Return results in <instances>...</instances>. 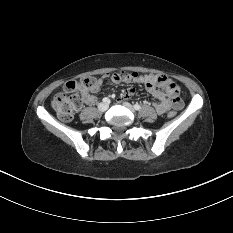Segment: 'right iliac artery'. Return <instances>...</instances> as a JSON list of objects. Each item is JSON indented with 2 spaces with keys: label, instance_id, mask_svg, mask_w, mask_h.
I'll return each instance as SVG.
<instances>
[{
  "label": "right iliac artery",
  "instance_id": "82829eb1",
  "mask_svg": "<svg viewBox=\"0 0 233 233\" xmlns=\"http://www.w3.org/2000/svg\"><path fill=\"white\" fill-rule=\"evenodd\" d=\"M102 101H103L104 103H106V102H109L110 100H109V98L105 97V98H103Z\"/></svg>",
  "mask_w": 233,
  "mask_h": 233
}]
</instances>
